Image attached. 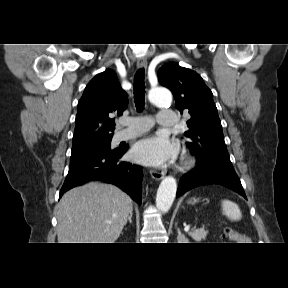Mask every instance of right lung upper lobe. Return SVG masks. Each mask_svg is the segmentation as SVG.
Masks as SVG:
<instances>
[{
	"instance_id": "obj_1",
	"label": "right lung upper lobe",
	"mask_w": 288,
	"mask_h": 288,
	"mask_svg": "<svg viewBox=\"0 0 288 288\" xmlns=\"http://www.w3.org/2000/svg\"><path fill=\"white\" fill-rule=\"evenodd\" d=\"M127 105V93L121 88L116 73L107 69L97 74L79 100L72 148L112 138L115 123L110 115H122Z\"/></svg>"
}]
</instances>
